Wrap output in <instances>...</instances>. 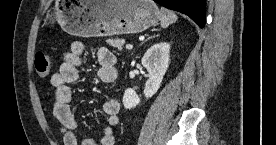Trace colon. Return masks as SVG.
<instances>
[{
  "instance_id": "1",
  "label": "colon",
  "mask_w": 276,
  "mask_h": 145,
  "mask_svg": "<svg viewBox=\"0 0 276 145\" xmlns=\"http://www.w3.org/2000/svg\"><path fill=\"white\" fill-rule=\"evenodd\" d=\"M35 68L40 78H47L51 70V58L45 52H38L35 56Z\"/></svg>"
}]
</instances>
